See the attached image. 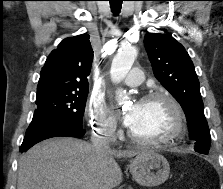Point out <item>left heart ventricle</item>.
Segmentation results:
<instances>
[{
  "instance_id": "b2bd125f",
  "label": "left heart ventricle",
  "mask_w": 223,
  "mask_h": 189,
  "mask_svg": "<svg viewBox=\"0 0 223 189\" xmlns=\"http://www.w3.org/2000/svg\"><path fill=\"white\" fill-rule=\"evenodd\" d=\"M174 115L164 100H151L139 103V114L130 129L141 137H158L170 131Z\"/></svg>"
}]
</instances>
